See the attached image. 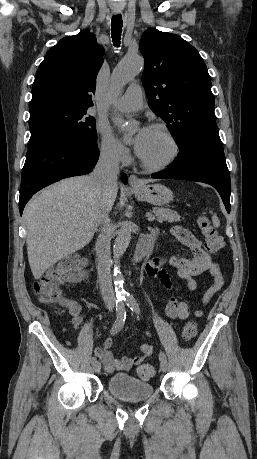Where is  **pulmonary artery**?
I'll list each match as a JSON object with an SVG mask.
<instances>
[{
  "label": "pulmonary artery",
  "instance_id": "e3ab8cb5",
  "mask_svg": "<svg viewBox=\"0 0 257 459\" xmlns=\"http://www.w3.org/2000/svg\"><path fill=\"white\" fill-rule=\"evenodd\" d=\"M115 106L122 111L139 110L143 106L141 86L138 84L130 85L125 94L117 100Z\"/></svg>",
  "mask_w": 257,
  "mask_h": 459
}]
</instances>
